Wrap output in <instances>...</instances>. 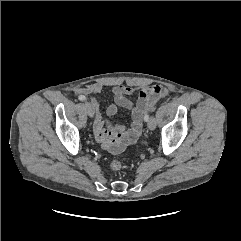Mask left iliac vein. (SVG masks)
<instances>
[{
    "label": "left iliac vein",
    "instance_id": "1",
    "mask_svg": "<svg viewBox=\"0 0 241 241\" xmlns=\"http://www.w3.org/2000/svg\"><path fill=\"white\" fill-rule=\"evenodd\" d=\"M147 126L150 130H154L156 128V120L154 117L149 118Z\"/></svg>",
    "mask_w": 241,
    "mask_h": 241
}]
</instances>
